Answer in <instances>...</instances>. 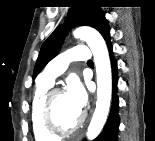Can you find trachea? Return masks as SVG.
Here are the masks:
<instances>
[{"instance_id":"obj_1","label":"trachea","mask_w":155,"mask_h":141,"mask_svg":"<svg viewBox=\"0 0 155 141\" xmlns=\"http://www.w3.org/2000/svg\"><path fill=\"white\" fill-rule=\"evenodd\" d=\"M92 62H93L92 60H89V61H88V63H92Z\"/></svg>"}]
</instances>
